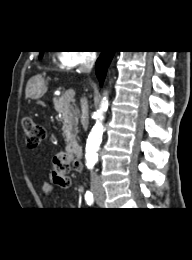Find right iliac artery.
Segmentation results:
<instances>
[{
    "label": "right iliac artery",
    "mask_w": 192,
    "mask_h": 260,
    "mask_svg": "<svg viewBox=\"0 0 192 260\" xmlns=\"http://www.w3.org/2000/svg\"><path fill=\"white\" fill-rule=\"evenodd\" d=\"M85 200L87 202L88 205H92L93 202H94V197H93V194L92 192L90 191H87L86 194H85Z\"/></svg>",
    "instance_id": "82829eb1"
}]
</instances>
